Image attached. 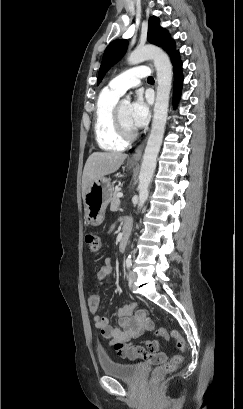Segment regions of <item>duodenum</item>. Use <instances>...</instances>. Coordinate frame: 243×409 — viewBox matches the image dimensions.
<instances>
[{"mask_svg": "<svg viewBox=\"0 0 243 409\" xmlns=\"http://www.w3.org/2000/svg\"><path fill=\"white\" fill-rule=\"evenodd\" d=\"M128 237H129V230L125 229L122 234H121V238L119 241V250L120 251H125L126 246H127V242H128Z\"/></svg>", "mask_w": 243, "mask_h": 409, "instance_id": "1", "label": "duodenum"}]
</instances>
